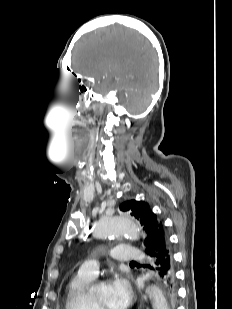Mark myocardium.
Listing matches in <instances>:
<instances>
[{"instance_id": "myocardium-1", "label": "myocardium", "mask_w": 232, "mask_h": 309, "mask_svg": "<svg viewBox=\"0 0 232 309\" xmlns=\"http://www.w3.org/2000/svg\"><path fill=\"white\" fill-rule=\"evenodd\" d=\"M92 301L96 309H107L94 297V295L92 296Z\"/></svg>"}]
</instances>
